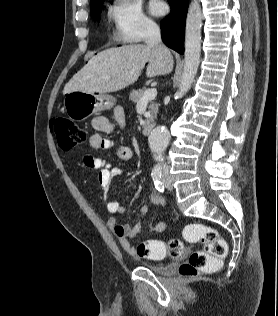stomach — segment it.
<instances>
[{"label":"stomach","instance_id":"obj_1","mask_svg":"<svg viewBox=\"0 0 278 316\" xmlns=\"http://www.w3.org/2000/svg\"><path fill=\"white\" fill-rule=\"evenodd\" d=\"M115 103L116 99L108 94L73 91L65 95L63 108L70 119L81 121L99 111L113 108Z\"/></svg>","mask_w":278,"mask_h":316}]
</instances>
